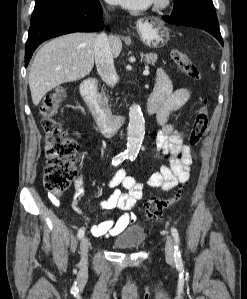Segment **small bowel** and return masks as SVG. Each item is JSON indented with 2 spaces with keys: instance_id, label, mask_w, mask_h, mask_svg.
I'll return each instance as SVG.
<instances>
[{
  "instance_id": "obj_1",
  "label": "small bowel",
  "mask_w": 247,
  "mask_h": 299,
  "mask_svg": "<svg viewBox=\"0 0 247 299\" xmlns=\"http://www.w3.org/2000/svg\"><path fill=\"white\" fill-rule=\"evenodd\" d=\"M192 92V86L174 91L166 72L163 69L158 70L155 87L148 102L156 108L157 120L162 125V129L156 135L157 150L168 156L169 159L168 164L162 165L150 176L147 182L149 187L168 192L186 183L189 179L192 164L191 150L184 143L180 132L167 121L190 99ZM107 187L113 190L112 194L93 205V210L119 209L126 213L115 220H105L93 225L91 233L95 237L116 236L123 232L134 220L128 212L137 205L144 195V184L134 176L128 175L123 167L118 168L108 179ZM84 193L83 181L79 178L75 182L72 207L77 213L90 220L78 205ZM50 199L55 205H60V200L56 196L51 195Z\"/></svg>"
}]
</instances>
